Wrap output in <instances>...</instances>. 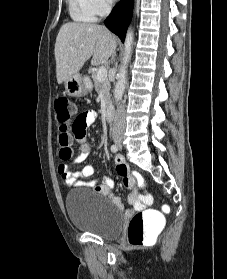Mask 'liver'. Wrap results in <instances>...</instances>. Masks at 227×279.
I'll return each mask as SVG.
<instances>
[{
  "label": "liver",
  "mask_w": 227,
  "mask_h": 279,
  "mask_svg": "<svg viewBox=\"0 0 227 279\" xmlns=\"http://www.w3.org/2000/svg\"><path fill=\"white\" fill-rule=\"evenodd\" d=\"M116 45L115 36L104 26L79 22L63 24L55 43L58 84L78 73L90 57L93 65L105 64Z\"/></svg>",
  "instance_id": "liver-1"
}]
</instances>
